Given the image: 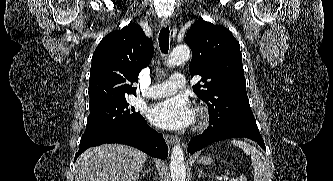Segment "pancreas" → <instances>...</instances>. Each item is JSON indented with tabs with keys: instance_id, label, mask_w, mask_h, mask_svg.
Here are the masks:
<instances>
[{
	"instance_id": "cf45deb5",
	"label": "pancreas",
	"mask_w": 333,
	"mask_h": 181,
	"mask_svg": "<svg viewBox=\"0 0 333 181\" xmlns=\"http://www.w3.org/2000/svg\"><path fill=\"white\" fill-rule=\"evenodd\" d=\"M230 181H238V179H231Z\"/></svg>"
}]
</instances>
